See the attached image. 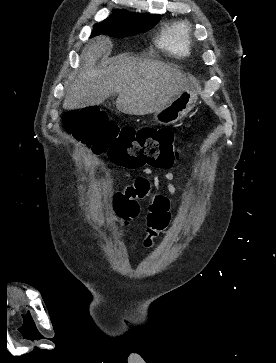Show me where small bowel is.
I'll return each instance as SVG.
<instances>
[{
	"label": "small bowel",
	"instance_id": "obj_1",
	"mask_svg": "<svg viewBox=\"0 0 276 363\" xmlns=\"http://www.w3.org/2000/svg\"><path fill=\"white\" fill-rule=\"evenodd\" d=\"M143 173L144 176L136 178L132 184L116 194L114 205L127 219L133 220L140 214L139 202L149 198L148 216L155 214L158 220L163 221L168 212L169 199L166 195L157 191V186L160 184L159 177L152 176L150 168H145ZM173 178L174 175L171 171L166 172L164 175V187L170 195L177 194V188L172 184ZM162 230H155L148 224L146 236L152 240Z\"/></svg>",
	"mask_w": 276,
	"mask_h": 363
}]
</instances>
